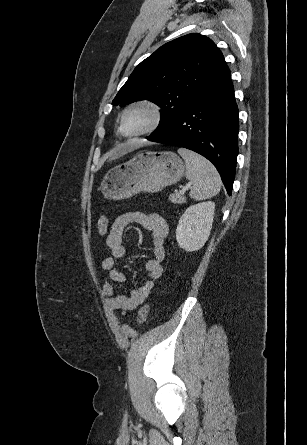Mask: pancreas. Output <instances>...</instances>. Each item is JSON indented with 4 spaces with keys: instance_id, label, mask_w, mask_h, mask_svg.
I'll use <instances>...</instances> for the list:
<instances>
[{
    "instance_id": "cf45deb5",
    "label": "pancreas",
    "mask_w": 307,
    "mask_h": 445,
    "mask_svg": "<svg viewBox=\"0 0 307 445\" xmlns=\"http://www.w3.org/2000/svg\"><path fill=\"white\" fill-rule=\"evenodd\" d=\"M171 202H175V204H182V202H186V196H182L179 192H175V194H170Z\"/></svg>"
}]
</instances>
